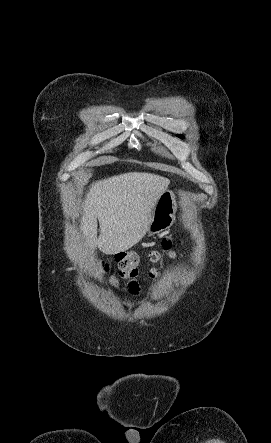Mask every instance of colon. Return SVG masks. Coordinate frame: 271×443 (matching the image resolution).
I'll return each mask as SVG.
<instances>
[{
    "instance_id": "colon-1",
    "label": "colon",
    "mask_w": 271,
    "mask_h": 443,
    "mask_svg": "<svg viewBox=\"0 0 271 443\" xmlns=\"http://www.w3.org/2000/svg\"><path fill=\"white\" fill-rule=\"evenodd\" d=\"M174 241L171 238H164L161 247L150 253V259L153 262H159L164 256H174ZM114 259L118 264L120 276L128 282V289L132 295H137L140 291L137 278L139 276L140 258L135 251H121L114 255ZM151 277L157 276L156 269H152Z\"/></svg>"
}]
</instances>
